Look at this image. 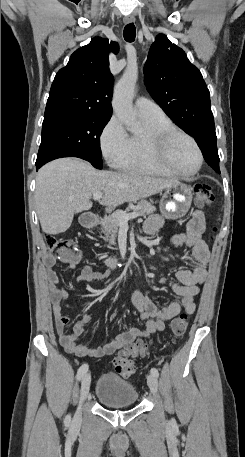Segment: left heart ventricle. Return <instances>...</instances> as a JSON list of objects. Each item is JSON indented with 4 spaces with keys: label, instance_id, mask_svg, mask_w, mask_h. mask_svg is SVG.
Instances as JSON below:
<instances>
[{
    "label": "left heart ventricle",
    "instance_id": "obj_1",
    "mask_svg": "<svg viewBox=\"0 0 245 457\" xmlns=\"http://www.w3.org/2000/svg\"><path fill=\"white\" fill-rule=\"evenodd\" d=\"M153 152L158 161L177 171L190 172L197 165L191 143L181 135L174 137L166 146H154Z\"/></svg>",
    "mask_w": 245,
    "mask_h": 457
}]
</instances>
